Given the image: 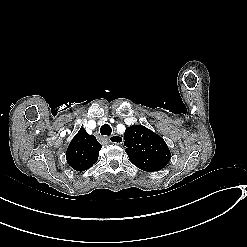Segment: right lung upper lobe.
<instances>
[{"label": "right lung upper lobe", "mask_w": 247, "mask_h": 247, "mask_svg": "<svg viewBox=\"0 0 247 247\" xmlns=\"http://www.w3.org/2000/svg\"><path fill=\"white\" fill-rule=\"evenodd\" d=\"M101 147L94 135L81 128L67 148V162L74 170L85 171L96 163Z\"/></svg>", "instance_id": "cb5924a9"}]
</instances>
